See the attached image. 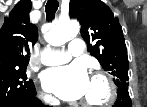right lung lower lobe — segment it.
Wrapping results in <instances>:
<instances>
[{"instance_id":"obj_1","label":"right lung lower lobe","mask_w":147,"mask_h":107,"mask_svg":"<svg viewBox=\"0 0 147 107\" xmlns=\"http://www.w3.org/2000/svg\"><path fill=\"white\" fill-rule=\"evenodd\" d=\"M35 95L36 93L16 98L6 103L3 107H46Z\"/></svg>"}]
</instances>
